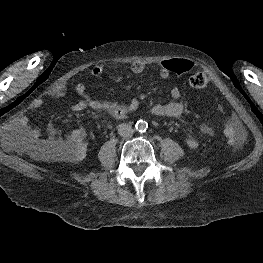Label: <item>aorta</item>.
Returning <instances> with one entry per match:
<instances>
[{"label":"aorta","mask_w":263,"mask_h":263,"mask_svg":"<svg viewBox=\"0 0 263 263\" xmlns=\"http://www.w3.org/2000/svg\"><path fill=\"white\" fill-rule=\"evenodd\" d=\"M135 127H136V129H137L138 131H144V130L147 129L148 124H147L146 121L139 120V121H137Z\"/></svg>","instance_id":"aorta-1"}]
</instances>
